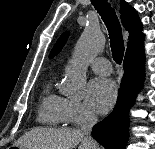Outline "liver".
I'll return each mask as SVG.
<instances>
[{"label":"liver","mask_w":155,"mask_h":149,"mask_svg":"<svg viewBox=\"0 0 155 149\" xmlns=\"http://www.w3.org/2000/svg\"><path fill=\"white\" fill-rule=\"evenodd\" d=\"M78 129L36 127L22 135L14 144L19 149H91Z\"/></svg>","instance_id":"obj_1"}]
</instances>
